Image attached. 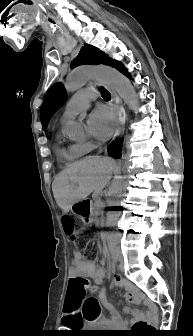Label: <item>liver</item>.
Masks as SVG:
<instances>
[{
	"label": "liver",
	"mask_w": 193,
	"mask_h": 336,
	"mask_svg": "<svg viewBox=\"0 0 193 336\" xmlns=\"http://www.w3.org/2000/svg\"><path fill=\"white\" fill-rule=\"evenodd\" d=\"M115 162L108 157L88 156L60 172L52 184L57 205L67 213L72 204L100 194L111 178Z\"/></svg>",
	"instance_id": "1"
}]
</instances>
